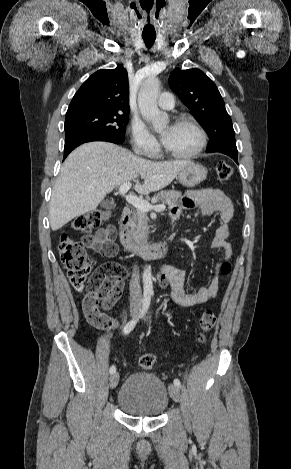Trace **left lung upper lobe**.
I'll return each instance as SVG.
<instances>
[{
    "mask_svg": "<svg viewBox=\"0 0 291 469\" xmlns=\"http://www.w3.org/2000/svg\"><path fill=\"white\" fill-rule=\"evenodd\" d=\"M169 85L207 131L210 138L207 151L237 149L224 101L215 83L204 72L197 68L183 71L176 68L170 75Z\"/></svg>",
    "mask_w": 291,
    "mask_h": 469,
    "instance_id": "1",
    "label": "left lung upper lobe"
}]
</instances>
